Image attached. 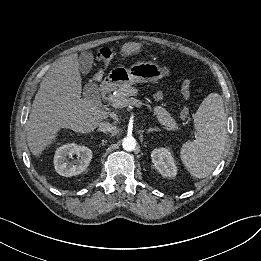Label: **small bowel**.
<instances>
[{"instance_id":"c3829d8e","label":"small bowel","mask_w":261,"mask_h":261,"mask_svg":"<svg viewBox=\"0 0 261 261\" xmlns=\"http://www.w3.org/2000/svg\"><path fill=\"white\" fill-rule=\"evenodd\" d=\"M184 82L189 83L188 80H184ZM159 96H160V94H158V97H159ZM188 97H189V96H184V98H185L186 100L188 99ZM183 111H184V113H183L181 116H182V118H185L186 115L188 114V108H187V107H184Z\"/></svg>"}]
</instances>
